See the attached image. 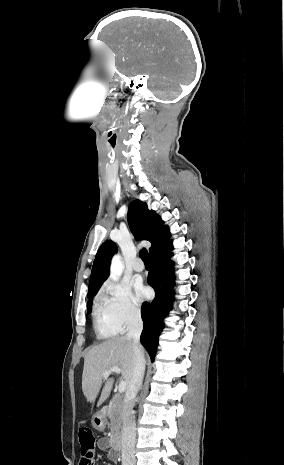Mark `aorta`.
<instances>
[{"instance_id":"1","label":"aorta","mask_w":284,"mask_h":465,"mask_svg":"<svg viewBox=\"0 0 284 465\" xmlns=\"http://www.w3.org/2000/svg\"><path fill=\"white\" fill-rule=\"evenodd\" d=\"M123 269H124V266L122 262V257L119 254H117L112 259L111 268H110L111 277L113 279L119 278L123 273Z\"/></svg>"}]
</instances>
